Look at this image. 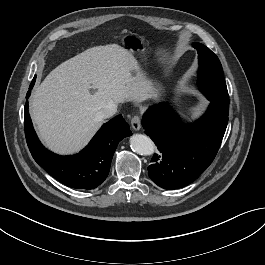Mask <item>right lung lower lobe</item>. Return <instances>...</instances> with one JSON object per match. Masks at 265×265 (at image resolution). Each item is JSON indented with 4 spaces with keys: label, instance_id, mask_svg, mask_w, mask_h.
<instances>
[{
    "label": "right lung lower lobe",
    "instance_id": "right-lung-lower-lobe-1",
    "mask_svg": "<svg viewBox=\"0 0 265 265\" xmlns=\"http://www.w3.org/2000/svg\"><path fill=\"white\" fill-rule=\"evenodd\" d=\"M36 76L30 84L34 86ZM27 92L26 98L30 96ZM24 126L26 141L34 160L56 180L77 189H94L108 176L113 154L118 143L132 133L122 115L104 124L91 142L80 153L59 156L48 151L40 143L25 105Z\"/></svg>",
    "mask_w": 265,
    "mask_h": 265
}]
</instances>
